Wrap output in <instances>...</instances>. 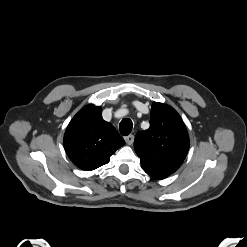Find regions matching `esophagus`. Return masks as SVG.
Segmentation results:
<instances>
[{
  "mask_svg": "<svg viewBox=\"0 0 247 247\" xmlns=\"http://www.w3.org/2000/svg\"><path fill=\"white\" fill-rule=\"evenodd\" d=\"M124 139H125V142H126L128 145H132L133 142H134V136H133V135H128V136H126Z\"/></svg>",
  "mask_w": 247,
  "mask_h": 247,
  "instance_id": "34e87169",
  "label": "esophagus"
}]
</instances>
